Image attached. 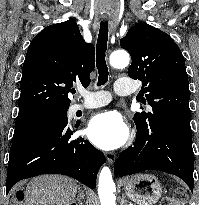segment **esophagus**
<instances>
[{"mask_svg":"<svg viewBox=\"0 0 199 205\" xmlns=\"http://www.w3.org/2000/svg\"><path fill=\"white\" fill-rule=\"evenodd\" d=\"M105 157H106V160H107L110 164L114 163V161H115V159H116V155H115V153H113V152H106V153H105Z\"/></svg>","mask_w":199,"mask_h":205,"instance_id":"34e87169","label":"esophagus"}]
</instances>
